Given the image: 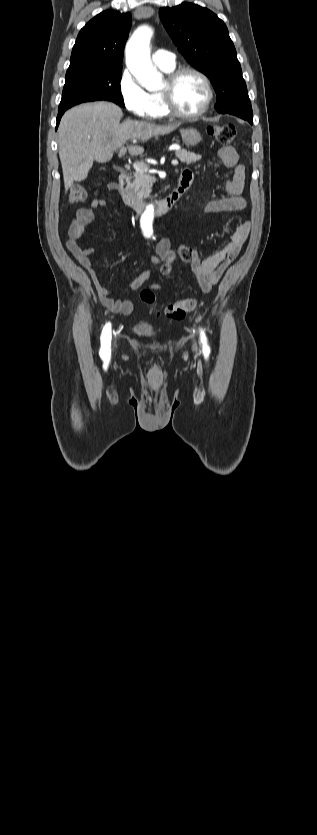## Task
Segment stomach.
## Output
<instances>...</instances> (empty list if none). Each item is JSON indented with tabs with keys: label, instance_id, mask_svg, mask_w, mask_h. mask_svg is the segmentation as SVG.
Segmentation results:
<instances>
[{
	"label": "stomach",
	"instance_id": "obj_1",
	"mask_svg": "<svg viewBox=\"0 0 317 835\" xmlns=\"http://www.w3.org/2000/svg\"><path fill=\"white\" fill-rule=\"evenodd\" d=\"M180 132L183 142L188 146H197L202 139L200 133L194 128H184Z\"/></svg>",
	"mask_w": 317,
	"mask_h": 835
}]
</instances>
